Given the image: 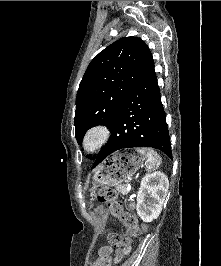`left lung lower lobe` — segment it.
Wrapping results in <instances>:
<instances>
[{
    "instance_id": "1",
    "label": "left lung lower lobe",
    "mask_w": 221,
    "mask_h": 266,
    "mask_svg": "<svg viewBox=\"0 0 221 266\" xmlns=\"http://www.w3.org/2000/svg\"><path fill=\"white\" fill-rule=\"evenodd\" d=\"M111 136L93 168L110 154L132 147H153L172 158L169 131L155 71L126 96L111 126Z\"/></svg>"
}]
</instances>
